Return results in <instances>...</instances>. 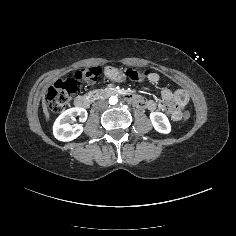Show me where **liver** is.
<instances>
[{"instance_id":"1","label":"liver","mask_w":236,"mask_h":236,"mask_svg":"<svg viewBox=\"0 0 236 236\" xmlns=\"http://www.w3.org/2000/svg\"><path fill=\"white\" fill-rule=\"evenodd\" d=\"M42 108H43L44 116H45L47 122H49L50 121V113L48 110V106L46 104V95L45 94L43 95V98H42Z\"/></svg>"}]
</instances>
